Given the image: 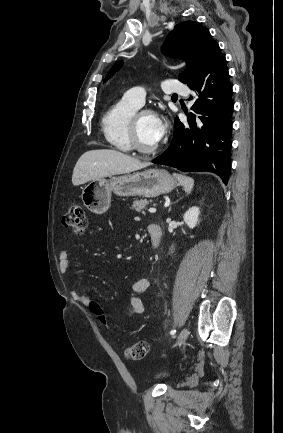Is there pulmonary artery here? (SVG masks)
Listing matches in <instances>:
<instances>
[{
  "instance_id": "1",
  "label": "pulmonary artery",
  "mask_w": 283,
  "mask_h": 433,
  "mask_svg": "<svg viewBox=\"0 0 283 433\" xmlns=\"http://www.w3.org/2000/svg\"><path fill=\"white\" fill-rule=\"evenodd\" d=\"M161 85H164L163 88L167 93L177 92L178 96L190 95V88L186 87L184 83H178L176 78L161 80ZM124 98L134 105L141 107L145 102V92L138 88L130 89L125 93Z\"/></svg>"
}]
</instances>
